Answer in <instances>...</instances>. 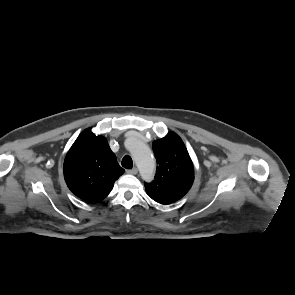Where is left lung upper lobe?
<instances>
[{
  "instance_id": "obj_1",
  "label": "left lung upper lobe",
  "mask_w": 295,
  "mask_h": 295,
  "mask_svg": "<svg viewBox=\"0 0 295 295\" xmlns=\"http://www.w3.org/2000/svg\"><path fill=\"white\" fill-rule=\"evenodd\" d=\"M152 147L158 166L154 180L145 183V190L150 197L174 203L192 186L193 163L183 141L174 132L154 141Z\"/></svg>"
}]
</instances>
